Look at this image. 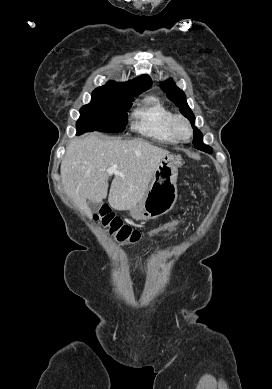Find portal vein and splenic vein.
Wrapping results in <instances>:
<instances>
[{"mask_svg": "<svg viewBox=\"0 0 272 389\" xmlns=\"http://www.w3.org/2000/svg\"><path fill=\"white\" fill-rule=\"evenodd\" d=\"M107 172L109 174L121 175V173L118 172V166L117 165H113L111 168L107 169Z\"/></svg>", "mask_w": 272, "mask_h": 389, "instance_id": "18ae733b", "label": "portal vein and splenic vein"}]
</instances>
